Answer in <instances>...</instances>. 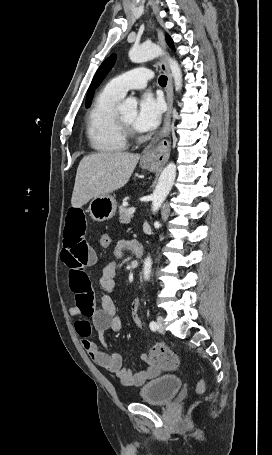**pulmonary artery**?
Here are the masks:
<instances>
[{
    "mask_svg": "<svg viewBox=\"0 0 272 455\" xmlns=\"http://www.w3.org/2000/svg\"><path fill=\"white\" fill-rule=\"evenodd\" d=\"M151 78L152 72L149 69L138 67L113 78L107 88L123 97L128 90L144 88Z\"/></svg>",
    "mask_w": 272,
    "mask_h": 455,
    "instance_id": "obj_1",
    "label": "pulmonary artery"
}]
</instances>
